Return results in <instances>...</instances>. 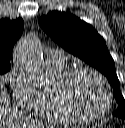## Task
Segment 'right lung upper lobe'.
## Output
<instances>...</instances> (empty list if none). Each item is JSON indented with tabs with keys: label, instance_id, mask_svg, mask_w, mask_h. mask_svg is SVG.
Returning a JSON list of instances; mask_svg holds the SVG:
<instances>
[{
	"label": "right lung upper lobe",
	"instance_id": "right-lung-upper-lobe-1",
	"mask_svg": "<svg viewBox=\"0 0 125 128\" xmlns=\"http://www.w3.org/2000/svg\"><path fill=\"white\" fill-rule=\"evenodd\" d=\"M24 28L23 20H0V63H10L15 42L20 38Z\"/></svg>",
	"mask_w": 125,
	"mask_h": 128
}]
</instances>
